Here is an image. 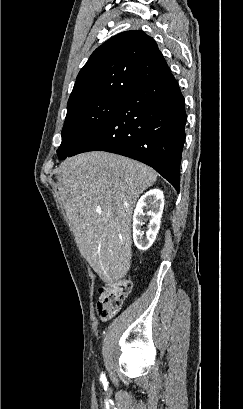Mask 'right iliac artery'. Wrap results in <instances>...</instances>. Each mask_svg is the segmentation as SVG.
<instances>
[{"mask_svg":"<svg viewBox=\"0 0 243 409\" xmlns=\"http://www.w3.org/2000/svg\"><path fill=\"white\" fill-rule=\"evenodd\" d=\"M101 378H102V379H105V376L102 374Z\"/></svg>","mask_w":243,"mask_h":409,"instance_id":"right-iliac-artery-1","label":"right iliac artery"}]
</instances>
